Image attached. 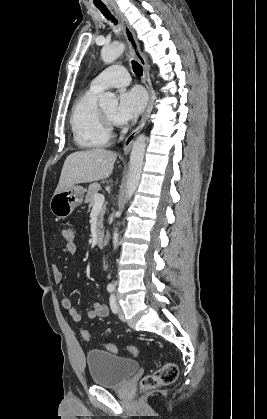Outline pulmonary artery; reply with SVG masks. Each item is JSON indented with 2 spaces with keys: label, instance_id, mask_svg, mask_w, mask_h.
<instances>
[{
  "label": "pulmonary artery",
  "instance_id": "1",
  "mask_svg": "<svg viewBox=\"0 0 267 419\" xmlns=\"http://www.w3.org/2000/svg\"><path fill=\"white\" fill-rule=\"evenodd\" d=\"M129 82L130 76L127 69L121 65H113L95 77L90 87L98 91H103L111 87L128 85Z\"/></svg>",
  "mask_w": 267,
  "mask_h": 419
}]
</instances>
